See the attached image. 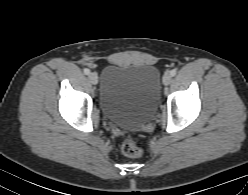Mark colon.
<instances>
[{
    "label": "colon",
    "instance_id": "5ec220e1",
    "mask_svg": "<svg viewBox=\"0 0 248 195\" xmlns=\"http://www.w3.org/2000/svg\"><path fill=\"white\" fill-rule=\"evenodd\" d=\"M121 151L127 157H137L141 154V149L132 137H126L123 140Z\"/></svg>",
    "mask_w": 248,
    "mask_h": 195
}]
</instances>
